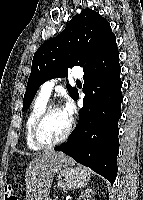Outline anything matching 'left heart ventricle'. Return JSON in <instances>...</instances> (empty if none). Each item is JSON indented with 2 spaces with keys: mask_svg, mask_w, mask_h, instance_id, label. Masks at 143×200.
Here are the masks:
<instances>
[{
  "mask_svg": "<svg viewBox=\"0 0 143 200\" xmlns=\"http://www.w3.org/2000/svg\"><path fill=\"white\" fill-rule=\"evenodd\" d=\"M70 119L66 116L63 109L53 110L41 128V136L46 141H54L62 137L66 132Z\"/></svg>",
  "mask_w": 143,
  "mask_h": 200,
  "instance_id": "left-heart-ventricle-1",
  "label": "left heart ventricle"
}]
</instances>
